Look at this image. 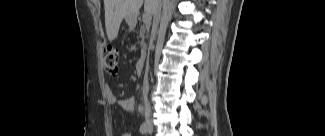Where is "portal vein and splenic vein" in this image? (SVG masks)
Returning <instances> with one entry per match:
<instances>
[{"mask_svg":"<svg viewBox=\"0 0 325 136\" xmlns=\"http://www.w3.org/2000/svg\"><path fill=\"white\" fill-rule=\"evenodd\" d=\"M151 22V14L146 12L143 14V23L148 24Z\"/></svg>","mask_w":325,"mask_h":136,"instance_id":"portal-vein-and-splenic-vein-1","label":"portal vein and splenic vein"}]
</instances>
